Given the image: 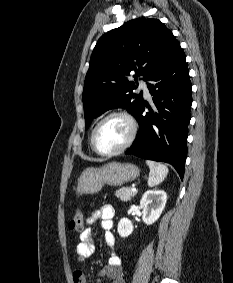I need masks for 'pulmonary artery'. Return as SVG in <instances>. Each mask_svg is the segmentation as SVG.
<instances>
[{
	"instance_id": "obj_1",
	"label": "pulmonary artery",
	"mask_w": 233,
	"mask_h": 283,
	"mask_svg": "<svg viewBox=\"0 0 233 283\" xmlns=\"http://www.w3.org/2000/svg\"><path fill=\"white\" fill-rule=\"evenodd\" d=\"M139 87L143 90L144 95H145L146 97H148V96L150 95L149 89H148V84H147L146 81H143V80L140 81Z\"/></svg>"
}]
</instances>
